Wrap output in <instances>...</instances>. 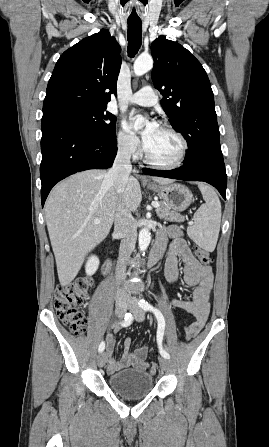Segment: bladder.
<instances>
[{
    "instance_id": "31cf9c89",
    "label": "bladder",
    "mask_w": 269,
    "mask_h": 447,
    "mask_svg": "<svg viewBox=\"0 0 269 447\" xmlns=\"http://www.w3.org/2000/svg\"><path fill=\"white\" fill-rule=\"evenodd\" d=\"M111 391L127 398H143L153 388V375L147 371L125 369L109 375Z\"/></svg>"
}]
</instances>
